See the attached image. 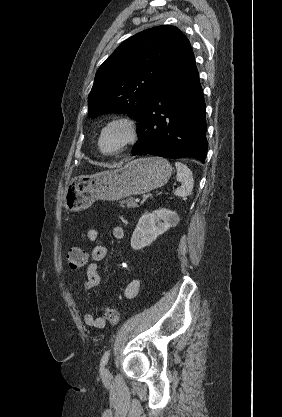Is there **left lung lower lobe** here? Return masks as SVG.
Returning a JSON list of instances; mask_svg holds the SVG:
<instances>
[{"label":"left lung lower lobe","instance_id":"obj_1","mask_svg":"<svg viewBox=\"0 0 282 417\" xmlns=\"http://www.w3.org/2000/svg\"><path fill=\"white\" fill-rule=\"evenodd\" d=\"M141 112L133 156L193 157L205 162V101L191 47L170 67Z\"/></svg>","mask_w":282,"mask_h":417}]
</instances>
